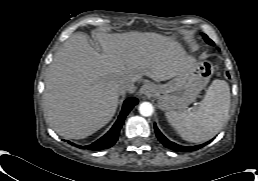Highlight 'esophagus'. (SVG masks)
Segmentation results:
<instances>
[{
  "label": "esophagus",
  "instance_id": "esophagus-1",
  "mask_svg": "<svg viewBox=\"0 0 258 181\" xmlns=\"http://www.w3.org/2000/svg\"><path fill=\"white\" fill-rule=\"evenodd\" d=\"M154 87L150 83L144 84L140 89L141 95H149L153 91Z\"/></svg>",
  "mask_w": 258,
  "mask_h": 181
}]
</instances>
